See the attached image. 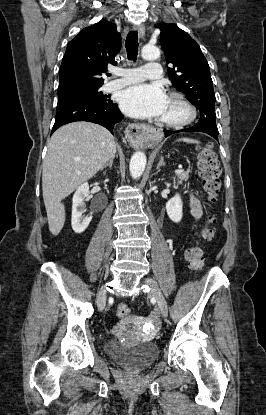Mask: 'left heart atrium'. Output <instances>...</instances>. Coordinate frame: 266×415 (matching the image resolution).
<instances>
[{
    "label": "left heart atrium",
    "instance_id": "obj_1",
    "mask_svg": "<svg viewBox=\"0 0 266 415\" xmlns=\"http://www.w3.org/2000/svg\"><path fill=\"white\" fill-rule=\"evenodd\" d=\"M168 98L160 84H138L125 89L120 96L122 111L134 118H160Z\"/></svg>",
    "mask_w": 266,
    "mask_h": 415
}]
</instances>
